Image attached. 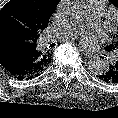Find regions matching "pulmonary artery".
<instances>
[{
  "label": "pulmonary artery",
  "mask_w": 118,
  "mask_h": 118,
  "mask_svg": "<svg viewBox=\"0 0 118 118\" xmlns=\"http://www.w3.org/2000/svg\"><path fill=\"white\" fill-rule=\"evenodd\" d=\"M106 10V0H86L83 13L75 20L67 23L63 27L57 28L51 39H68L75 37L80 33L83 27L89 23L98 20ZM117 55L111 57V61L115 62Z\"/></svg>",
  "instance_id": "e3ab8cb5"
}]
</instances>
